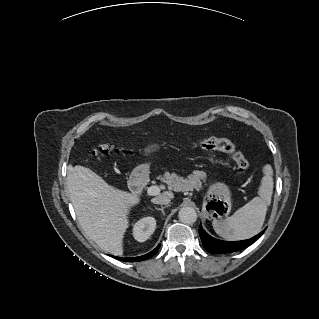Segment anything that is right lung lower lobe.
Listing matches in <instances>:
<instances>
[{"label": "right lung lower lobe", "instance_id": "obj_1", "mask_svg": "<svg viewBox=\"0 0 319 319\" xmlns=\"http://www.w3.org/2000/svg\"><path fill=\"white\" fill-rule=\"evenodd\" d=\"M159 248H160V244L155 249H153L151 252H149L145 255H142V256H138V257H132V258H122V257H117V256H112V257H114L115 259L121 260V261H125V262L143 261V260H147V259L153 257L158 252Z\"/></svg>", "mask_w": 319, "mask_h": 319}]
</instances>
